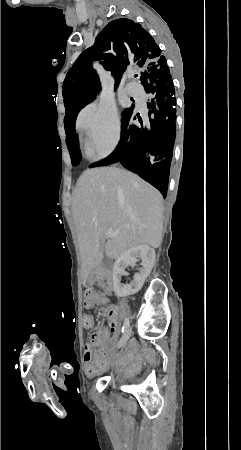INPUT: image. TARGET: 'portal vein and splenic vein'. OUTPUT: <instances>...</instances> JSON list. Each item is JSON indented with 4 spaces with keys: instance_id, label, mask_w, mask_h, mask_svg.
<instances>
[{
    "instance_id": "1",
    "label": "portal vein and splenic vein",
    "mask_w": 241,
    "mask_h": 450,
    "mask_svg": "<svg viewBox=\"0 0 241 450\" xmlns=\"http://www.w3.org/2000/svg\"><path fill=\"white\" fill-rule=\"evenodd\" d=\"M118 232H113L112 228H109V230H107V236L108 238H116Z\"/></svg>"
}]
</instances>
